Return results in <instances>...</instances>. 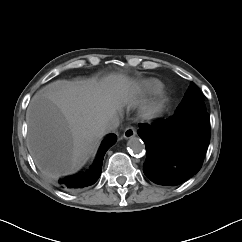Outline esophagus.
Listing matches in <instances>:
<instances>
[{
	"label": "esophagus",
	"mask_w": 242,
	"mask_h": 242,
	"mask_svg": "<svg viewBox=\"0 0 242 242\" xmlns=\"http://www.w3.org/2000/svg\"><path fill=\"white\" fill-rule=\"evenodd\" d=\"M136 135V130L133 127H128L123 132V137L125 139H130Z\"/></svg>",
	"instance_id": "esophagus-1"
}]
</instances>
